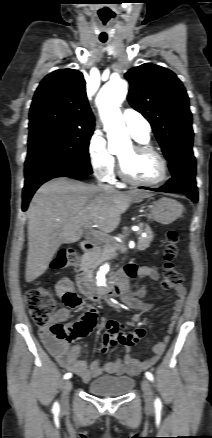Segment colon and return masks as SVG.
Returning a JSON list of instances; mask_svg holds the SVG:
<instances>
[{"instance_id": "obj_1", "label": "colon", "mask_w": 212, "mask_h": 438, "mask_svg": "<svg viewBox=\"0 0 212 438\" xmlns=\"http://www.w3.org/2000/svg\"><path fill=\"white\" fill-rule=\"evenodd\" d=\"M179 234L176 230H170L166 235L164 247V267L162 286L165 289H173L183 281L182 274L174 264L178 255ZM78 255L72 249H62L52 262L53 269H64L75 266ZM60 295L62 302L72 306L79 302V297L73 289H64ZM26 303L29 313L36 325L48 327L58 340L73 341L88 334V327L77 322L71 327H66L61 322L54 320L56 301L49 288L39 286L29 290L26 294Z\"/></svg>"}]
</instances>
